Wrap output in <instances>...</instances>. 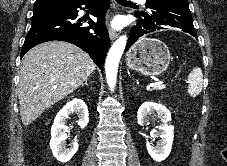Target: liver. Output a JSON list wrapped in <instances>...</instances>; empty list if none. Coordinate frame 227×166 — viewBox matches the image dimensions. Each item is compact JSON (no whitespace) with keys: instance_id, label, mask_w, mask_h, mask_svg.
<instances>
[{"instance_id":"obj_1","label":"liver","mask_w":227,"mask_h":166,"mask_svg":"<svg viewBox=\"0 0 227 166\" xmlns=\"http://www.w3.org/2000/svg\"><path fill=\"white\" fill-rule=\"evenodd\" d=\"M95 70V63L79 47L49 41L28 51L22 60L18 98L24 126L62 100Z\"/></svg>"}]
</instances>
